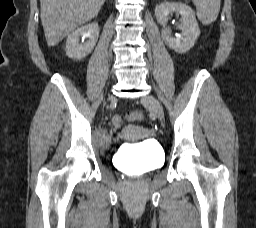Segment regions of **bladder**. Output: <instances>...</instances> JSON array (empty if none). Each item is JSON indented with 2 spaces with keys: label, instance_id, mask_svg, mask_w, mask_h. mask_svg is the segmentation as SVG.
Wrapping results in <instances>:
<instances>
[{
  "label": "bladder",
  "instance_id": "31cf9c89",
  "mask_svg": "<svg viewBox=\"0 0 256 228\" xmlns=\"http://www.w3.org/2000/svg\"><path fill=\"white\" fill-rule=\"evenodd\" d=\"M112 138L110 135L103 133L97 143L101 146H108ZM161 160V153L155 146L147 145L142 149L131 152L127 155L128 164L137 172L143 173L156 168Z\"/></svg>",
  "mask_w": 256,
  "mask_h": 228
}]
</instances>
